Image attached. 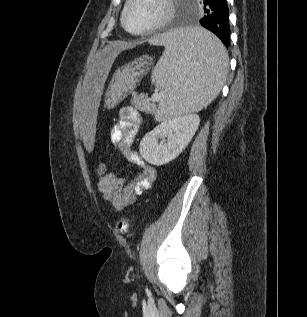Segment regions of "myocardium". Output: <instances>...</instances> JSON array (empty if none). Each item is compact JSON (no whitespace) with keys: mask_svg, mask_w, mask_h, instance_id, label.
Masks as SVG:
<instances>
[{"mask_svg":"<svg viewBox=\"0 0 307 317\" xmlns=\"http://www.w3.org/2000/svg\"><path fill=\"white\" fill-rule=\"evenodd\" d=\"M136 0H127L123 10H122V14H121V25L124 28V30L126 32H128L129 34L132 35H147V34H151L161 28H163L165 25H167L171 19L174 16V4H173V0H164L163 2L165 3L167 10L166 13L163 15V17L156 22L155 24L151 25L150 27L140 30V31H132L130 30L127 25H126V15L127 12L130 8V6L135 2Z\"/></svg>","mask_w":307,"mask_h":317,"instance_id":"obj_1","label":"myocardium"}]
</instances>
